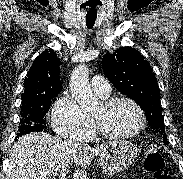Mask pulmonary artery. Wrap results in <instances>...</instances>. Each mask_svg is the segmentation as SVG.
<instances>
[{"instance_id": "pulmonary-artery-1", "label": "pulmonary artery", "mask_w": 183, "mask_h": 179, "mask_svg": "<svg viewBox=\"0 0 183 179\" xmlns=\"http://www.w3.org/2000/svg\"><path fill=\"white\" fill-rule=\"evenodd\" d=\"M91 87L100 96H108L111 91L108 80L103 76H94L91 80Z\"/></svg>"}]
</instances>
